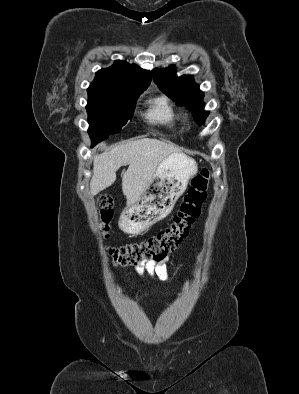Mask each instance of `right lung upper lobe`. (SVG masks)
<instances>
[{"label":"right lung upper lobe","mask_w":299,"mask_h":394,"mask_svg":"<svg viewBox=\"0 0 299 394\" xmlns=\"http://www.w3.org/2000/svg\"><path fill=\"white\" fill-rule=\"evenodd\" d=\"M151 79L150 71L126 61L116 60L111 67L96 72V77L87 91L92 94L115 91L142 93L149 86Z\"/></svg>","instance_id":"obj_1"}]
</instances>
